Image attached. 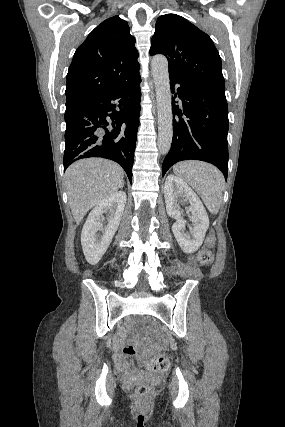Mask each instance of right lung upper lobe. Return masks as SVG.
Here are the masks:
<instances>
[{
  "instance_id": "right-lung-upper-lobe-1",
  "label": "right lung upper lobe",
  "mask_w": 285,
  "mask_h": 427,
  "mask_svg": "<svg viewBox=\"0 0 285 427\" xmlns=\"http://www.w3.org/2000/svg\"><path fill=\"white\" fill-rule=\"evenodd\" d=\"M135 38L118 16L97 26L76 50L67 74L66 106L117 90L139 76Z\"/></svg>"
}]
</instances>
